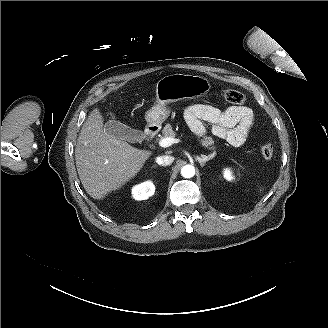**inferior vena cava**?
<instances>
[{
	"mask_svg": "<svg viewBox=\"0 0 328 328\" xmlns=\"http://www.w3.org/2000/svg\"><path fill=\"white\" fill-rule=\"evenodd\" d=\"M173 161H174V157L168 156V155H163V156L156 158V162L162 166L171 165L173 163Z\"/></svg>",
	"mask_w": 328,
	"mask_h": 328,
	"instance_id": "obj_1",
	"label": "inferior vena cava"
}]
</instances>
